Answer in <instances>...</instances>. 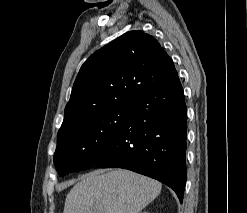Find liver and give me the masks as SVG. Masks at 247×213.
I'll return each mask as SVG.
<instances>
[{"instance_id":"1","label":"liver","mask_w":247,"mask_h":213,"mask_svg":"<svg viewBox=\"0 0 247 213\" xmlns=\"http://www.w3.org/2000/svg\"><path fill=\"white\" fill-rule=\"evenodd\" d=\"M161 188L157 180L129 170H95L70 190L63 213H138Z\"/></svg>"}]
</instances>
